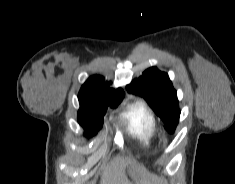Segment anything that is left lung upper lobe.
Segmentation results:
<instances>
[{
  "label": "left lung upper lobe",
  "instance_id": "obj_1",
  "mask_svg": "<svg viewBox=\"0 0 235 184\" xmlns=\"http://www.w3.org/2000/svg\"><path fill=\"white\" fill-rule=\"evenodd\" d=\"M128 92L142 96L163 120L168 132L173 133L179 121L177 92L167 73L151 67L127 86Z\"/></svg>",
  "mask_w": 235,
  "mask_h": 184
}]
</instances>
